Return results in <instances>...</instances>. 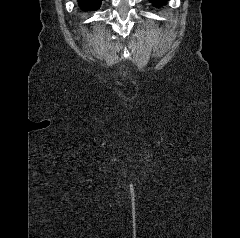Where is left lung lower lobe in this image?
Segmentation results:
<instances>
[{
    "label": "left lung lower lobe",
    "instance_id": "0a47b994",
    "mask_svg": "<svg viewBox=\"0 0 240 238\" xmlns=\"http://www.w3.org/2000/svg\"><path fill=\"white\" fill-rule=\"evenodd\" d=\"M154 6L162 5L166 0H149Z\"/></svg>",
    "mask_w": 240,
    "mask_h": 238
}]
</instances>
